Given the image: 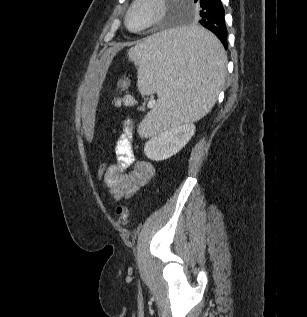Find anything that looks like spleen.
I'll return each mask as SVG.
<instances>
[{"mask_svg":"<svg viewBox=\"0 0 307 317\" xmlns=\"http://www.w3.org/2000/svg\"><path fill=\"white\" fill-rule=\"evenodd\" d=\"M138 67V89L157 92L155 109L141 122L139 134L200 120L216 102L226 76V55L206 26H175L149 33L128 52Z\"/></svg>","mask_w":307,"mask_h":317,"instance_id":"3e777b00","label":"spleen"}]
</instances>
